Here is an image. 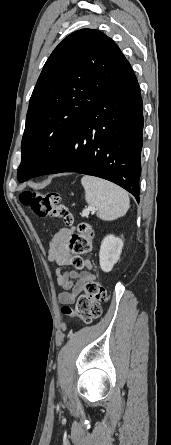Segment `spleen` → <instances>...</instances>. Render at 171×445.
<instances>
[{"label": "spleen", "instance_id": "spleen-1", "mask_svg": "<svg viewBox=\"0 0 171 445\" xmlns=\"http://www.w3.org/2000/svg\"><path fill=\"white\" fill-rule=\"evenodd\" d=\"M81 183L86 202L98 208L97 216L101 220L112 221L126 214L130 200L125 190L94 176H83Z\"/></svg>", "mask_w": 171, "mask_h": 445}]
</instances>
